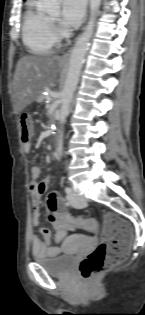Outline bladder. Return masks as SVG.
Wrapping results in <instances>:
<instances>
[{"mask_svg": "<svg viewBox=\"0 0 145 315\" xmlns=\"http://www.w3.org/2000/svg\"><path fill=\"white\" fill-rule=\"evenodd\" d=\"M75 249H93V248H75ZM76 256L57 255L51 259L36 258V262L41 264L51 275L65 276L74 267Z\"/></svg>", "mask_w": 145, "mask_h": 315, "instance_id": "1", "label": "bladder"}]
</instances>
